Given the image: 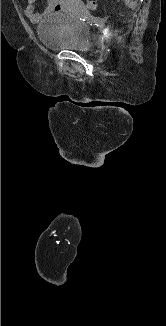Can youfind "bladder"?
Instances as JSON below:
<instances>
[{"label": "bladder", "mask_w": 166, "mask_h": 326, "mask_svg": "<svg viewBox=\"0 0 166 326\" xmlns=\"http://www.w3.org/2000/svg\"><path fill=\"white\" fill-rule=\"evenodd\" d=\"M83 9L82 6L78 7ZM41 44L49 50L87 52L91 48L89 26L81 19L62 12H51L37 24Z\"/></svg>", "instance_id": "bladder-1"}]
</instances>
